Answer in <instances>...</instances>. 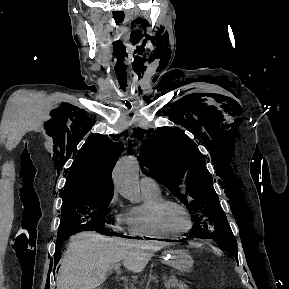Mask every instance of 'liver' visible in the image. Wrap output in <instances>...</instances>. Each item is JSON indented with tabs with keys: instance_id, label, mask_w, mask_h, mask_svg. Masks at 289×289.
I'll use <instances>...</instances> for the list:
<instances>
[{
	"instance_id": "6515ba94",
	"label": "liver",
	"mask_w": 289,
	"mask_h": 289,
	"mask_svg": "<svg viewBox=\"0 0 289 289\" xmlns=\"http://www.w3.org/2000/svg\"><path fill=\"white\" fill-rule=\"evenodd\" d=\"M165 245L108 238L92 231L78 233L60 261L57 289H96L105 281L108 270L120 261L138 274L154 252Z\"/></svg>"
}]
</instances>
